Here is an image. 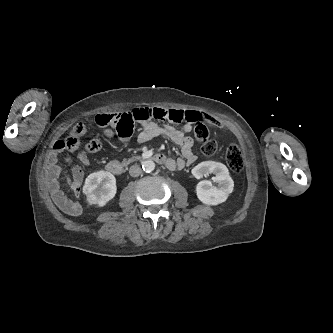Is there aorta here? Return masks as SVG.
<instances>
[{
	"label": "aorta",
	"mask_w": 333,
	"mask_h": 333,
	"mask_svg": "<svg viewBox=\"0 0 333 333\" xmlns=\"http://www.w3.org/2000/svg\"><path fill=\"white\" fill-rule=\"evenodd\" d=\"M142 168L145 172H152L155 169V163L152 160H146L142 163Z\"/></svg>",
	"instance_id": "762f6f07"
}]
</instances>
